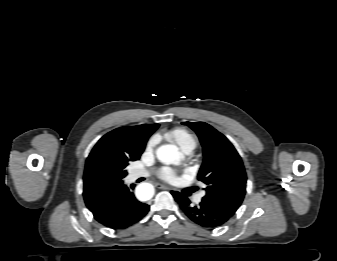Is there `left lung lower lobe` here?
I'll return each instance as SVG.
<instances>
[{
    "mask_svg": "<svg viewBox=\"0 0 337 261\" xmlns=\"http://www.w3.org/2000/svg\"><path fill=\"white\" fill-rule=\"evenodd\" d=\"M172 195L184 214L202 227L213 229L225 224L231 218L209 203L201 202L197 206H192L189 199L179 192L173 191Z\"/></svg>",
    "mask_w": 337,
    "mask_h": 261,
    "instance_id": "left-lung-lower-lobe-1",
    "label": "left lung lower lobe"
}]
</instances>
